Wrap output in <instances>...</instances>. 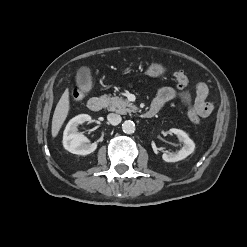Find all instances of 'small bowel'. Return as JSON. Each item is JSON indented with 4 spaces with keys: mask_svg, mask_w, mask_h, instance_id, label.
<instances>
[{
    "mask_svg": "<svg viewBox=\"0 0 247 247\" xmlns=\"http://www.w3.org/2000/svg\"><path fill=\"white\" fill-rule=\"evenodd\" d=\"M208 86L200 82L196 86V98L193 107L199 111L201 117L208 116L213 110V103L208 100ZM176 98L188 103L191 100L190 94L170 86L162 87L158 90L156 96L151 102L150 108L156 109L157 112L169 101Z\"/></svg>",
    "mask_w": 247,
    "mask_h": 247,
    "instance_id": "small-bowel-1",
    "label": "small bowel"
}]
</instances>
